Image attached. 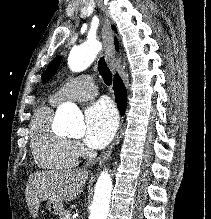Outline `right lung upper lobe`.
<instances>
[{"mask_svg": "<svg viewBox=\"0 0 211 219\" xmlns=\"http://www.w3.org/2000/svg\"><path fill=\"white\" fill-rule=\"evenodd\" d=\"M115 46H116V50H118L119 49V45H118V41H117L116 38H115Z\"/></svg>", "mask_w": 211, "mask_h": 219, "instance_id": "obj_1", "label": "right lung upper lobe"}]
</instances>
